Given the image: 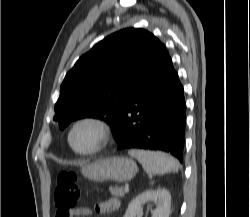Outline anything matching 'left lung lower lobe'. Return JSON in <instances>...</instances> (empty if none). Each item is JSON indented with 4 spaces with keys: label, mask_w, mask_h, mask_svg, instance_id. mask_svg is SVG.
Returning <instances> with one entry per match:
<instances>
[{
    "label": "left lung lower lobe",
    "mask_w": 250,
    "mask_h": 217,
    "mask_svg": "<svg viewBox=\"0 0 250 217\" xmlns=\"http://www.w3.org/2000/svg\"><path fill=\"white\" fill-rule=\"evenodd\" d=\"M185 124L183 87L162 44L152 67L132 91L115 133L117 149L164 151L182 163Z\"/></svg>",
    "instance_id": "obj_1"
}]
</instances>
